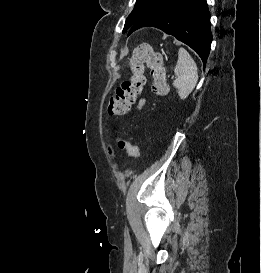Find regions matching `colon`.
I'll return each mask as SVG.
<instances>
[{"mask_svg":"<svg viewBox=\"0 0 261 273\" xmlns=\"http://www.w3.org/2000/svg\"><path fill=\"white\" fill-rule=\"evenodd\" d=\"M127 66L131 72L129 78L121 83L108 102L107 112L112 117L126 114L136 97L142 93L146 84L145 69H149L153 78L152 92L156 96H163L167 92L163 56L150 44L138 45L127 59ZM117 145L131 157L140 156L139 147L132 142L120 138Z\"/></svg>","mask_w":261,"mask_h":273,"instance_id":"obj_1","label":"colon"}]
</instances>
